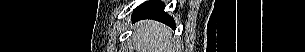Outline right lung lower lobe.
<instances>
[{"label":"right lung lower lobe","mask_w":305,"mask_h":52,"mask_svg":"<svg viewBox=\"0 0 305 52\" xmlns=\"http://www.w3.org/2000/svg\"><path fill=\"white\" fill-rule=\"evenodd\" d=\"M140 19H154L175 28L173 18L164 12V3L159 1H150L138 6L133 12L132 20L134 22Z\"/></svg>","instance_id":"98d812e1"}]
</instances>
